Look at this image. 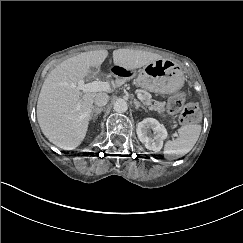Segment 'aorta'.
<instances>
[{
  "label": "aorta",
  "mask_w": 243,
  "mask_h": 243,
  "mask_svg": "<svg viewBox=\"0 0 243 243\" xmlns=\"http://www.w3.org/2000/svg\"><path fill=\"white\" fill-rule=\"evenodd\" d=\"M113 108L117 113H125L128 109V106L124 99H117L113 104Z\"/></svg>",
  "instance_id": "obj_1"
}]
</instances>
